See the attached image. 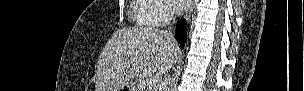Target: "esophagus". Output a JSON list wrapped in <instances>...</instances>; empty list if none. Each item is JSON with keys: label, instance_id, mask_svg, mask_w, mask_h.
<instances>
[{"label": "esophagus", "instance_id": "34e87169", "mask_svg": "<svg viewBox=\"0 0 304 91\" xmlns=\"http://www.w3.org/2000/svg\"><path fill=\"white\" fill-rule=\"evenodd\" d=\"M196 2H197V1L194 0V2L192 3V5H191L189 11H188L187 14H186V20H187V21H189L190 18H191V15H192V12H193V9H194V7H195Z\"/></svg>", "mask_w": 304, "mask_h": 91}]
</instances>
